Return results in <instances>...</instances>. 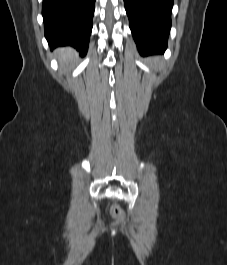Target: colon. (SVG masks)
<instances>
[{"label":"colon","mask_w":227,"mask_h":265,"mask_svg":"<svg viewBox=\"0 0 227 265\" xmlns=\"http://www.w3.org/2000/svg\"><path fill=\"white\" fill-rule=\"evenodd\" d=\"M110 210L116 220L120 221L124 218V211L119 206L113 204L111 205Z\"/></svg>","instance_id":"5ec220e1"}]
</instances>
